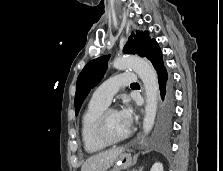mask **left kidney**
Returning a JSON list of instances; mask_svg holds the SVG:
<instances>
[{
  "label": "left kidney",
  "mask_w": 223,
  "mask_h": 171,
  "mask_svg": "<svg viewBox=\"0 0 223 171\" xmlns=\"http://www.w3.org/2000/svg\"><path fill=\"white\" fill-rule=\"evenodd\" d=\"M150 171H163V165L160 162L155 163Z\"/></svg>",
  "instance_id": "left-kidney-1"
}]
</instances>
